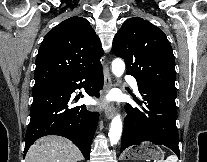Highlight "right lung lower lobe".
I'll return each mask as SVG.
<instances>
[{"instance_id": "1", "label": "right lung lower lobe", "mask_w": 207, "mask_h": 162, "mask_svg": "<svg viewBox=\"0 0 207 162\" xmlns=\"http://www.w3.org/2000/svg\"><path fill=\"white\" fill-rule=\"evenodd\" d=\"M82 86H85L88 95L99 96L103 87L101 65L33 88L31 119L25 135L24 155L38 138L59 135L73 141L85 159L89 160L99 114L88 111L85 105L72 106L75 101L71 99V94Z\"/></svg>"}]
</instances>
